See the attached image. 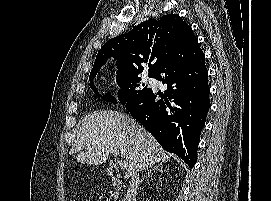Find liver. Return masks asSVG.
<instances>
[{"mask_svg":"<svg viewBox=\"0 0 271 201\" xmlns=\"http://www.w3.org/2000/svg\"><path fill=\"white\" fill-rule=\"evenodd\" d=\"M86 152H81L82 150ZM80 152L78 162L90 165L104 163L110 153L125 157V178H133L138 170L165 163L169 156L156 139L128 115L112 110L94 112L84 118L71 153Z\"/></svg>","mask_w":271,"mask_h":201,"instance_id":"6515ba94","label":"liver"}]
</instances>
